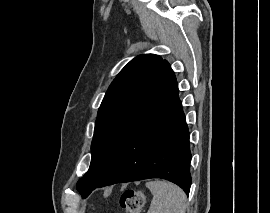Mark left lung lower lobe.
<instances>
[{
	"instance_id": "left-lung-lower-lobe-1",
	"label": "left lung lower lobe",
	"mask_w": 270,
	"mask_h": 213,
	"mask_svg": "<svg viewBox=\"0 0 270 213\" xmlns=\"http://www.w3.org/2000/svg\"><path fill=\"white\" fill-rule=\"evenodd\" d=\"M178 92L176 86L144 119L95 188L162 178L189 193V131Z\"/></svg>"
}]
</instances>
